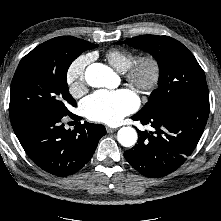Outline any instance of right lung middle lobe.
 <instances>
[{
    "instance_id": "dd1d6c3e",
    "label": "right lung middle lobe",
    "mask_w": 221,
    "mask_h": 221,
    "mask_svg": "<svg viewBox=\"0 0 221 221\" xmlns=\"http://www.w3.org/2000/svg\"><path fill=\"white\" fill-rule=\"evenodd\" d=\"M96 47L62 36L42 43L24 56L11 85V122L35 115H69L67 105L75 106L76 101L68 90L67 70L83 51Z\"/></svg>"
}]
</instances>
